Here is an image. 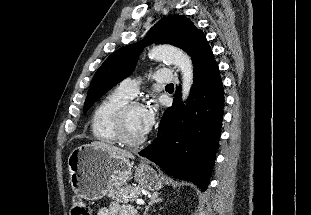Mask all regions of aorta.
<instances>
[{
	"mask_svg": "<svg viewBox=\"0 0 311 215\" xmlns=\"http://www.w3.org/2000/svg\"><path fill=\"white\" fill-rule=\"evenodd\" d=\"M149 56L156 60H165L177 66L182 74V99L186 100L193 84V64L191 58L183 50L173 46H156Z\"/></svg>",
	"mask_w": 311,
	"mask_h": 215,
	"instance_id": "1",
	"label": "aorta"
}]
</instances>
